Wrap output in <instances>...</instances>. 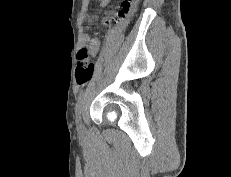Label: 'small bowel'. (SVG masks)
Returning a JSON list of instances; mask_svg holds the SVG:
<instances>
[{
    "label": "small bowel",
    "instance_id": "1",
    "mask_svg": "<svg viewBox=\"0 0 231 177\" xmlns=\"http://www.w3.org/2000/svg\"><path fill=\"white\" fill-rule=\"evenodd\" d=\"M102 3L108 2V0H99ZM85 46L88 49L90 55L94 56L100 47V41L97 38H90L88 36L85 37Z\"/></svg>",
    "mask_w": 231,
    "mask_h": 177
}]
</instances>
